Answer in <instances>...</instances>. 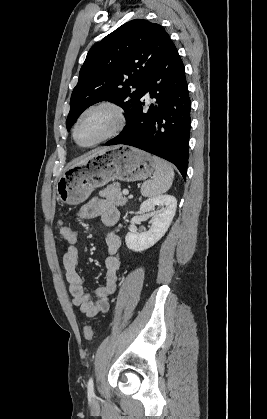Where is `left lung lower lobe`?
<instances>
[{"label":"left lung lower lobe","instance_id":"0a47b994","mask_svg":"<svg viewBox=\"0 0 267 419\" xmlns=\"http://www.w3.org/2000/svg\"><path fill=\"white\" fill-rule=\"evenodd\" d=\"M145 84L144 95L126 120L125 128L106 145H130L164 158L176 165L185 179L191 101L184 65L172 41ZM147 92L156 99L149 109L145 108Z\"/></svg>","mask_w":267,"mask_h":419}]
</instances>
